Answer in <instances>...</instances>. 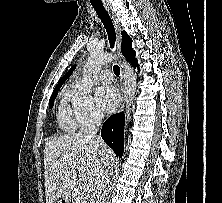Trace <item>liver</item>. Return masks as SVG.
<instances>
[{"mask_svg": "<svg viewBox=\"0 0 222 203\" xmlns=\"http://www.w3.org/2000/svg\"><path fill=\"white\" fill-rule=\"evenodd\" d=\"M114 154L101 140L83 133H68L49 139L44 150L46 203L76 190L78 178L96 185L98 176Z\"/></svg>", "mask_w": 222, "mask_h": 203, "instance_id": "liver-1", "label": "liver"}]
</instances>
